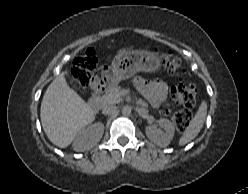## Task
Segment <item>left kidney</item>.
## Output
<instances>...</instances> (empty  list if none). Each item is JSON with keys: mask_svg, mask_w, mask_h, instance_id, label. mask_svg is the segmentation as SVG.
Returning <instances> with one entry per match:
<instances>
[{"mask_svg": "<svg viewBox=\"0 0 248 194\" xmlns=\"http://www.w3.org/2000/svg\"><path fill=\"white\" fill-rule=\"evenodd\" d=\"M158 125L165 130V133L160 135L157 129V125L153 124L146 128V135L154 142L156 145L160 147H166L169 145L170 141L174 136V125L168 119L161 118L158 120Z\"/></svg>", "mask_w": 248, "mask_h": 194, "instance_id": "5707ae66", "label": "left kidney"}]
</instances>
